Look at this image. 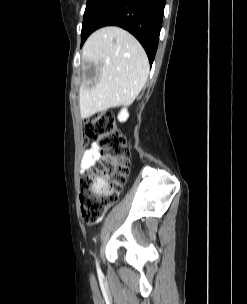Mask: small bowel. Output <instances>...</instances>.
Here are the masks:
<instances>
[{
    "label": "small bowel",
    "instance_id": "obj_1",
    "mask_svg": "<svg viewBox=\"0 0 247 304\" xmlns=\"http://www.w3.org/2000/svg\"><path fill=\"white\" fill-rule=\"evenodd\" d=\"M101 158L99 148L96 144H93L89 149H87L82 157L80 170L81 173L89 170L93 167Z\"/></svg>",
    "mask_w": 247,
    "mask_h": 304
}]
</instances>
